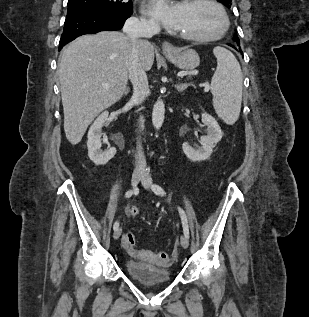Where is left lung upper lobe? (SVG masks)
Instances as JSON below:
<instances>
[{
	"label": "left lung upper lobe",
	"instance_id": "obj_1",
	"mask_svg": "<svg viewBox=\"0 0 309 317\" xmlns=\"http://www.w3.org/2000/svg\"><path fill=\"white\" fill-rule=\"evenodd\" d=\"M217 1L223 3L226 7L231 8V5H232V4H231V1H232V0H217ZM234 41H235L237 44H239V39H238L237 35L234 37Z\"/></svg>",
	"mask_w": 309,
	"mask_h": 317
}]
</instances>
